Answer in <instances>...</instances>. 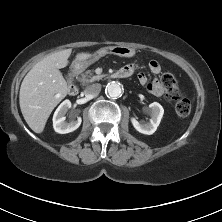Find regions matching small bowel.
<instances>
[{"label": "small bowel", "mask_w": 222, "mask_h": 222, "mask_svg": "<svg viewBox=\"0 0 222 222\" xmlns=\"http://www.w3.org/2000/svg\"><path fill=\"white\" fill-rule=\"evenodd\" d=\"M148 67L153 74H158L161 70L160 64L155 60H151L148 63ZM122 69H128L131 71V74H132V72L135 69V66L130 64V65H126V66L122 67ZM138 80L141 84L147 85V89L151 94H153L155 96H161L163 94L164 89H163L161 83L157 79H154L153 81L148 82L147 76L144 73H139Z\"/></svg>", "instance_id": "obj_1"}]
</instances>
